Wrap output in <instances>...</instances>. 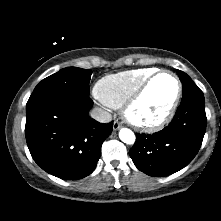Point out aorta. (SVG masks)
<instances>
[{
	"instance_id": "aorta-1",
	"label": "aorta",
	"mask_w": 221,
	"mask_h": 221,
	"mask_svg": "<svg viewBox=\"0 0 221 221\" xmlns=\"http://www.w3.org/2000/svg\"><path fill=\"white\" fill-rule=\"evenodd\" d=\"M119 138L122 142H124L126 144H134L135 139H136L133 131L128 128H122L119 131Z\"/></svg>"
}]
</instances>
